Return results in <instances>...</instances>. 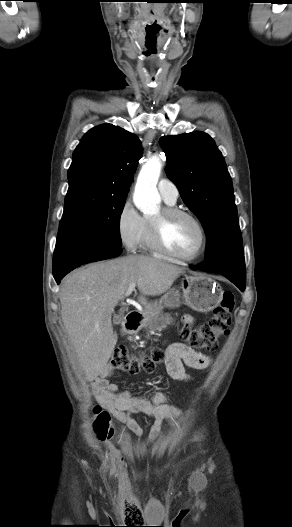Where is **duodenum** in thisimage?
I'll list each match as a JSON object with an SVG mask.
<instances>
[{
    "mask_svg": "<svg viewBox=\"0 0 292 527\" xmlns=\"http://www.w3.org/2000/svg\"><path fill=\"white\" fill-rule=\"evenodd\" d=\"M140 323V315L138 312H130L127 314L123 322V332L125 334L132 333L137 330Z\"/></svg>",
    "mask_w": 292,
    "mask_h": 527,
    "instance_id": "duodenum-1",
    "label": "duodenum"
}]
</instances>
